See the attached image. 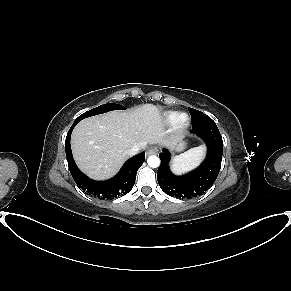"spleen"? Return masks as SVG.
<instances>
[{
	"label": "spleen",
	"mask_w": 291,
	"mask_h": 291,
	"mask_svg": "<svg viewBox=\"0 0 291 291\" xmlns=\"http://www.w3.org/2000/svg\"><path fill=\"white\" fill-rule=\"evenodd\" d=\"M205 154V147L199 146L173 157L171 169L175 174L185 173L199 165Z\"/></svg>",
	"instance_id": "obj_1"
}]
</instances>
